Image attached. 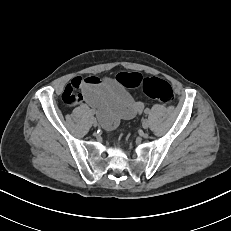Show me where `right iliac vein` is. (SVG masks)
I'll return each mask as SVG.
<instances>
[{"label":"right iliac vein","mask_w":231,"mask_h":231,"mask_svg":"<svg viewBox=\"0 0 231 231\" xmlns=\"http://www.w3.org/2000/svg\"><path fill=\"white\" fill-rule=\"evenodd\" d=\"M91 123H92V125H93L94 127H96V126L98 125V122H97L96 118H94V117H92Z\"/></svg>","instance_id":"right-iliac-vein-1"}]
</instances>
